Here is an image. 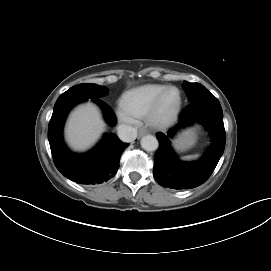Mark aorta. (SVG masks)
<instances>
[{
	"mask_svg": "<svg viewBox=\"0 0 271 271\" xmlns=\"http://www.w3.org/2000/svg\"><path fill=\"white\" fill-rule=\"evenodd\" d=\"M141 146L146 151H155L159 147V142L153 135H146L141 139Z\"/></svg>",
	"mask_w": 271,
	"mask_h": 271,
	"instance_id": "obj_1",
	"label": "aorta"
}]
</instances>
